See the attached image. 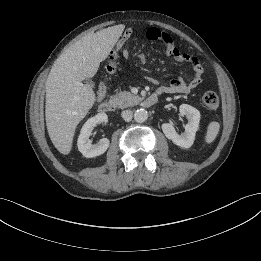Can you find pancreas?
I'll return each mask as SVG.
<instances>
[{
	"label": "pancreas",
	"mask_w": 261,
	"mask_h": 261,
	"mask_svg": "<svg viewBox=\"0 0 261 261\" xmlns=\"http://www.w3.org/2000/svg\"><path fill=\"white\" fill-rule=\"evenodd\" d=\"M139 100H141L139 96L133 95L127 91L119 92L111 96V101H113L118 108L134 106Z\"/></svg>",
	"instance_id": "pancreas-1"
}]
</instances>
